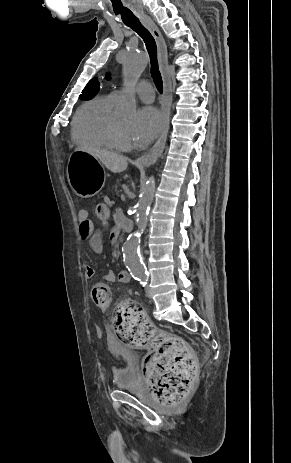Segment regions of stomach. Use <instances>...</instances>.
<instances>
[{"instance_id":"0dacf381","label":"stomach","mask_w":291,"mask_h":463,"mask_svg":"<svg viewBox=\"0 0 291 463\" xmlns=\"http://www.w3.org/2000/svg\"><path fill=\"white\" fill-rule=\"evenodd\" d=\"M67 178L73 191L80 197H92L100 190L103 169L100 161L85 151L71 153L67 164Z\"/></svg>"}]
</instances>
